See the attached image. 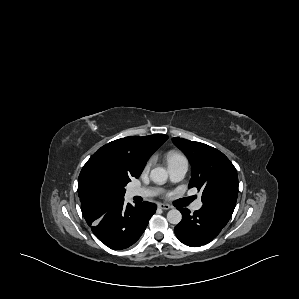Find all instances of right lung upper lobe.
Here are the masks:
<instances>
[{"label": "right lung upper lobe", "instance_id": "obj_1", "mask_svg": "<svg viewBox=\"0 0 299 299\" xmlns=\"http://www.w3.org/2000/svg\"><path fill=\"white\" fill-rule=\"evenodd\" d=\"M168 139L167 135L155 134L144 137H125L112 141L99 148L90 157L101 158L107 161L119 172L131 178H138L145 167L149 157ZM78 194L80 201L99 200L117 201L119 199L103 198L89 194L82 190L78 182Z\"/></svg>", "mask_w": 299, "mask_h": 299}]
</instances>
